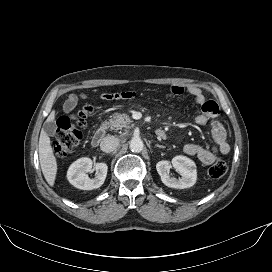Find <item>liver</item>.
<instances>
[{
	"instance_id": "6515ba94",
	"label": "liver",
	"mask_w": 272,
	"mask_h": 272,
	"mask_svg": "<svg viewBox=\"0 0 272 272\" xmlns=\"http://www.w3.org/2000/svg\"><path fill=\"white\" fill-rule=\"evenodd\" d=\"M55 119V111L53 110L47 122ZM39 160L43 175L50 186H54L57 175V161L53 154V149L50 144V138L42 129L39 138Z\"/></svg>"
}]
</instances>
